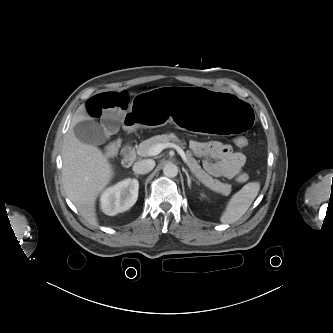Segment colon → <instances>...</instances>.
<instances>
[{"mask_svg":"<svg viewBox=\"0 0 333 333\" xmlns=\"http://www.w3.org/2000/svg\"><path fill=\"white\" fill-rule=\"evenodd\" d=\"M247 143H248L247 139L243 136H239V137L235 138V144L238 147H245L247 145ZM118 148H119V143L117 141H113L105 147L104 151L108 157H112L117 153ZM248 178H249L248 174L242 173L238 176L237 180L242 183V182H246L248 180Z\"/></svg>","mask_w":333,"mask_h":333,"instance_id":"colon-1","label":"colon"}]
</instances>
